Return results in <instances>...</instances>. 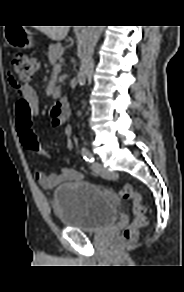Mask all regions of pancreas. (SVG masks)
I'll use <instances>...</instances> for the list:
<instances>
[{
  "instance_id": "cf45deb5",
  "label": "pancreas",
  "mask_w": 184,
  "mask_h": 292,
  "mask_svg": "<svg viewBox=\"0 0 184 292\" xmlns=\"http://www.w3.org/2000/svg\"><path fill=\"white\" fill-rule=\"evenodd\" d=\"M63 52H64V48L62 47L60 43L50 45L49 51H48L49 61L53 65H55L56 61L61 58Z\"/></svg>"
}]
</instances>
